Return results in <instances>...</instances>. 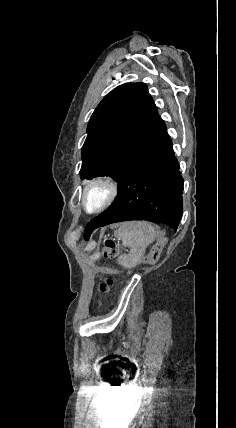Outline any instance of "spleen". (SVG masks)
Here are the masks:
<instances>
[{
    "mask_svg": "<svg viewBox=\"0 0 236 428\" xmlns=\"http://www.w3.org/2000/svg\"><path fill=\"white\" fill-rule=\"evenodd\" d=\"M116 236L122 240L123 246L130 248V254L119 256V264L135 268L142 262L146 248L154 242L155 230L148 222H125Z\"/></svg>",
    "mask_w": 236,
    "mask_h": 428,
    "instance_id": "3e777b00",
    "label": "spleen"
}]
</instances>
